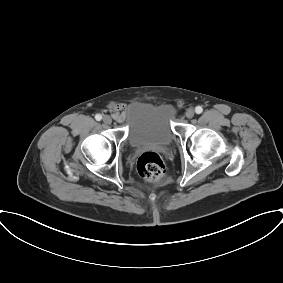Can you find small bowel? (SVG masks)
<instances>
[{"label": "small bowel", "mask_w": 283, "mask_h": 283, "mask_svg": "<svg viewBox=\"0 0 283 283\" xmlns=\"http://www.w3.org/2000/svg\"><path fill=\"white\" fill-rule=\"evenodd\" d=\"M113 117L118 121H123L126 117V108L119 105L113 108Z\"/></svg>", "instance_id": "c3829d8e"}]
</instances>
